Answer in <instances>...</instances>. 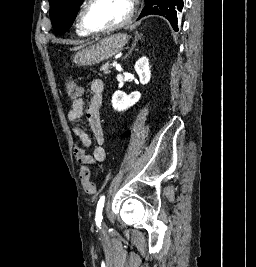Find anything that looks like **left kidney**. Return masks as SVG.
<instances>
[{
	"label": "left kidney",
	"mask_w": 256,
	"mask_h": 267,
	"mask_svg": "<svg viewBox=\"0 0 256 267\" xmlns=\"http://www.w3.org/2000/svg\"><path fill=\"white\" fill-rule=\"evenodd\" d=\"M134 70L139 76L140 84H143L144 86V84H148V82H150L151 70L149 60L146 56H142V58L137 60ZM140 98V92H131V94L127 96L125 92L117 90V92H114L111 102L114 110H117V112H124V110H128V108L134 106L136 102H139Z\"/></svg>",
	"instance_id": "left-kidney-1"
}]
</instances>
